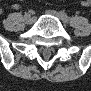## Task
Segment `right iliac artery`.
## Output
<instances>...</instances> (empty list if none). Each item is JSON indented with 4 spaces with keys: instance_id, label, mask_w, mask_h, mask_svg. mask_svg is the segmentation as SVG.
Wrapping results in <instances>:
<instances>
[{
    "instance_id": "1",
    "label": "right iliac artery",
    "mask_w": 91,
    "mask_h": 91,
    "mask_svg": "<svg viewBox=\"0 0 91 91\" xmlns=\"http://www.w3.org/2000/svg\"><path fill=\"white\" fill-rule=\"evenodd\" d=\"M27 15H29L28 13H25V15L24 16H27Z\"/></svg>"
}]
</instances>
